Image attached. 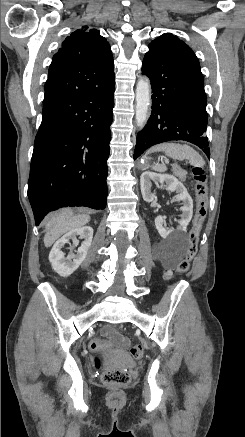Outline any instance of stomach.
I'll return each mask as SVG.
<instances>
[{"mask_svg": "<svg viewBox=\"0 0 245 437\" xmlns=\"http://www.w3.org/2000/svg\"><path fill=\"white\" fill-rule=\"evenodd\" d=\"M145 165H140L141 168H143Z\"/></svg>", "mask_w": 245, "mask_h": 437, "instance_id": "obj_1", "label": "stomach"}]
</instances>
